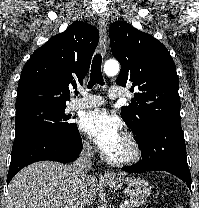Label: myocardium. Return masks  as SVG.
Instances as JSON below:
<instances>
[{"mask_svg":"<svg viewBox=\"0 0 199 208\" xmlns=\"http://www.w3.org/2000/svg\"><path fill=\"white\" fill-rule=\"evenodd\" d=\"M123 139L131 149L130 155L124 158H114L107 155L106 160L109 164L124 167L133 165L141 159L142 147L137 138L131 133H125Z\"/></svg>","mask_w":199,"mask_h":208,"instance_id":"f54148a6","label":"myocardium"}]
</instances>
